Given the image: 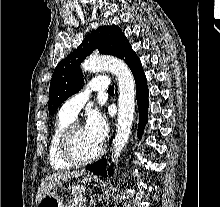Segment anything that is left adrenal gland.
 I'll return each mask as SVG.
<instances>
[{"label": "left adrenal gland", "instance_id": "1", "mask_svg": "<svg viewBox=\"0 0 220 207\" xmlns=\"http://www.w3.org/2000/svg\"><path fill=\"white\" fill-rule=\"evenodd\" d=\"M92 204H94V199L91 197V200H90V205L88 207H91Z\"/></svg>", "mask_w": 220, "mask_h": 207}]
</instances>
